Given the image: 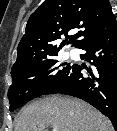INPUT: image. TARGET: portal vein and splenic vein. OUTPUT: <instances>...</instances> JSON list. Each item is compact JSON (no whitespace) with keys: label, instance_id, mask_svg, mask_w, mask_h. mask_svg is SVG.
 Instances as JSON below:
<instances>
[{"label":"portal vein and splenic vein","instance_id":"18ae733b","mask_svg":"<svg viewBox=\"0 0 117 131\" xmlns=\"http://www.w3.org/2000/svg\"><path fill=\"white\" fill-rule=\"evenodd\" d=\"M54 131H57V128L56 127H54V129H53Z\"/></svg>","mask_w":117,"mask_h":131}]
</instances>
